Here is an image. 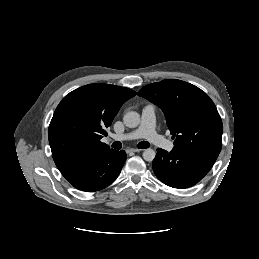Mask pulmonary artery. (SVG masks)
<instances>
[{"mask_svg": "<svg viewBox=\"0 0 259 259\" xmlns=\"http://www.w3.org/2000/svg\"><path fill=\"white\" fill-rule=\"evenodd\" d=\"M113 138L117 141L135 140L145 138L154 145L166 149L168 151L174 148V144L160 134L155 128V108L153 105H146L142 109L140 126L130 132L114 135Z\"/></svg>", "mask_w": 259, "mask_h": 259, "instance_id": "pulmonary-artery-1", "label": "pulmonary artery"}]
</instances>
